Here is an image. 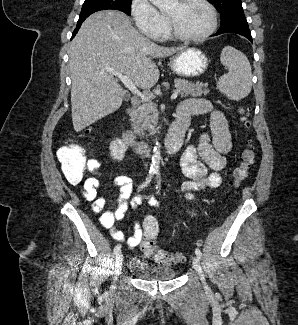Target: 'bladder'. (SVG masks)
Masks as SVG:
<instances>
[{"instance_id": "1", "label": "bladder", "mask_w": 298, "mask_h": 325, "mask_svg": "<svg viewBox=\"0 0 298 325\" xmlns=\"http://www.w3.org/2000/svg\"><path fill=\"white\" fill-rule=\"evenodd\" d=\"M128 269L133 276L147 282L170 281L176 276V272L173 268L152 264L140 256L131 258Z\"/></svg>"}]
</instances>
